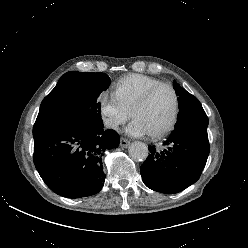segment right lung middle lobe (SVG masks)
<instances>
[{"mask_svg":"<svg viewBox=\"0 0 248 248\" xmlns=\"http://www.w3.org/2000/svg\"><path fill=\"white\" fill-rule=\"evenodd\" d=\"M105 73L67 72L40 106L35 123L101 124L99 94L108 88Z\"/></svg>","mask_w":248,"mask_h":248,"instance_id":"obj_1","label":"right lung middle lobe"}]
</instances>
